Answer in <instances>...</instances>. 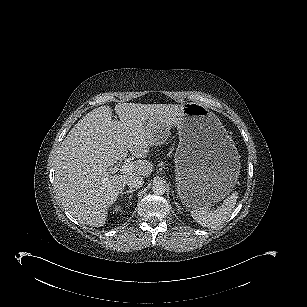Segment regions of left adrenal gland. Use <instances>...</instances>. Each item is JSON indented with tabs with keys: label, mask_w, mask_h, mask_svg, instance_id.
I'll return each instance as SVG.
<instances>
[{
	"label": "left adrenal gland",
	"mask_w": 307,
	"mask_h": 307,
	"mask_svg": "<svg viewBox=\"0 0 307 307\" xmlns=\"http://www.w3.org/2000/svg\"><path fill=\"white\" fill-rule=\"evenodd\" d=\"M175 199V197H173ZM175 204L177 205L178 208H180V206L178 205V203L175 201Z\"/></svg>",
	"instance_id": "obj_1"
}]
</instances>
